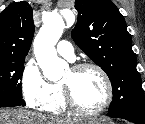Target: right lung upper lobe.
Returning a JSON list of instances; mask_svg holds the SVG:
<instances>
[{"instance_id":"cb5924a9","label":"right lung upper lobe","mask_w":145,"mask_h":124,"mask_svg":"<svg viewBox=\"0 0 145 124\" xmlns=\"http://www.w3.org/2000/svg\"><path fill=\"white\" fill-rule=\"evenodd\" d=\"M34 35L31 6L14 2L0 14V59L26 57Z\"/></svg>"}]
</instances>
